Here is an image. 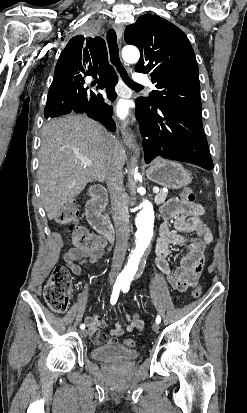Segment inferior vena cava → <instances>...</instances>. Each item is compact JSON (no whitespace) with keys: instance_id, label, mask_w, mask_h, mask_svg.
Masks as SVG:
<instances>
[{"instance_id":"inferior-vena-cava-1","label":"inferior vena cava","mask_w":247,"mask_h":413,"mask_svg":"<svg viewBox=\"0 0 247 413\" xmlns=\"http://www.w3.org/2000/svg\"><path fill=\"white\" fill-rule=\"evenodd\" d=\"M110 142L113 146H108L109 150H114L115 158L108 162L106 182L110 192L113 219L116 229V245L112 259L111 271L109 273L110 283H114L125 259L127 251L128 237L130 235L129 213H128V194L125 192L123 184V168L118 158L121 142L117 136L110 134Z\"/></svg>"}]
</instances>
